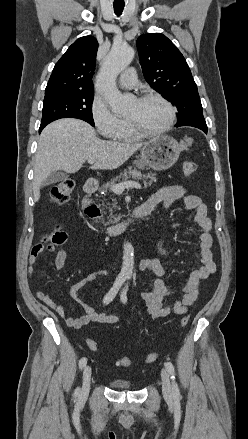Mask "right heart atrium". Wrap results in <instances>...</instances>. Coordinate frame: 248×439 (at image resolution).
Returning a JSON list of instances; mask_svg holds the SVG:
<instances>
[{"label": "right heart atrium", "mask_w": 248, "mask_h": 439, "mask_svg": "<svg viewBox=\"0 0 248 439\" xmlns=\"http://www.w3.org/2000/svg\"><path fill=\"white\" fill-rule=\"evenodd\" d=\"M91 117L97 131L104 138H114L123 124V119L116 116L106 100L99 96H95L92 101Z\"/></svg>", "instance_id": "d8ad5b80"}]
</instances>
